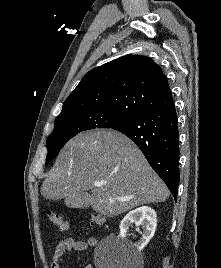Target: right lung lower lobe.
Returning a JSON list of instances; mask_svg holds the SVG:
<instances>
[{
  "label": "right lung lower lobe",
  "mask_w": 221,
  "mask_h": 268,
  "mask_svg": "<svg viewBox=\"0 0 221 268\" xmlns=\"http://www.w3.org/2000/svg\"><path fill=\"white\" fill-rule=\"evenodd\" d=\"M112 129L125 134L138 145L176 200L180 173L178 120L174 103L144 113Z\"/></svg>",
  "instance_id": "1"
}]
</instances>
